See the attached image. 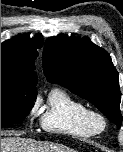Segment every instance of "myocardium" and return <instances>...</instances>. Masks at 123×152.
<instances>
[{"label":"myocardium","instance_id":"f54148a6","mask_svg":"<svg viewBox=\"0 0 123 152\" xmlns=\"http://www.w3.org/2000/svg\"><path fill=\"white\" fill-rule=\"evenodd\" d=\"M84 123L93 134L102 133L106 126V118L98 111L88 110L84 115Z\"/></svg>","mask_w":123,"mask_h":152}]
</instances>
